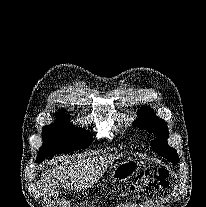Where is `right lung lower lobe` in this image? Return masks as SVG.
I'll use <instances>...</instances> for the list:
<instances>
[{"mask_svg":"<svg viewBox=\"0 0 206 207\" xmlns=\"http://www.w3.org/2000/svg\"><path fill=\"white\" fill-rule=\"evenodd\" d=\"M36 162L41 163L42 161H41V160H37V159H36Z\"/></svg>","mask_w":206,"mask_h":207,"instance_id":"1","label":"right lung lower lobe"}]
</instances>
